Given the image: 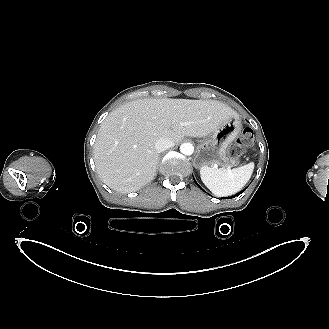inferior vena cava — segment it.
I'll use <instances>...</instances> for the list:
<instances>
[{
  "instance_id": "1",
  "label": "inferior vena cava",
  "mask_w": 329,
  "mask_h": 329,
  "mask_svg": "<svg viewBox=\"0 0 329 329\" xmlns=\"http://www.w3.org/2000/svg\"><path fill=\"white\" fill-rule=\"evenodd\" d=\"M174 146V142L166 137L160 138L155 143V149L158 153H161Z\"/></svg>"
}]
</instances>
